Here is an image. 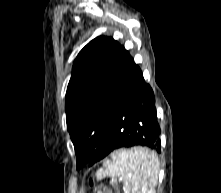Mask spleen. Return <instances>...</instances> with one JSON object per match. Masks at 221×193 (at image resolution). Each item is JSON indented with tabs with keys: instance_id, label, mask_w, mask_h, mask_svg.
<instances>
[{
	"instance_id": "spleen-1",
	"label": "spleen",
	"mask_w": 221,
	"mask_h": 193,
	"mask_svg": "<svg viewBox=\"0 0 221 193\" xmlns=\"http://www.w3.org/2000/svg\"><path fill=\"white\" fill-rule=\"evenodd\" d=\"M104 169L96 172L97 180L111 177V184L123 183L124 193H155L158 181L159 159L155 152L140 146H125L111 153Z\"/></svg>"
}]
</instances>
